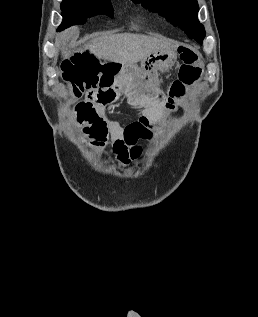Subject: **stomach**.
Segmentation results:
<instances>
[{
	"mask_svg": "<svg viewBox=\"0 0 258 317\" xmlns=\"http://www.w3.org/2000/svg\"><path fill=\"white\" fill-rule=\"evenodd\" d=\"M177 46L176 48H172V50H157V52H151L145 60H141L140 66L132 62V64H124V70H130V72H135L138 76H150V74H157V70H161V72H167L173 64H175L178 54H177Z\"/></svg>",
	"mask_w": 258,
	"mask_h": 317,
	"instance_id": "0dacf381",
	"label": "stomach"
}]
</instances>
